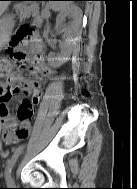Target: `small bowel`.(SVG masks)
<instances>
[{
  "mask_svg": "<svg viewBox=\"0 0 137 189\" xmlns=\"http://www.w3.org/2000/svg\"><path fill=\"white\" fill-rule=\"evenodd\" d=\"M33 71L35 73L33 80H28L21 72H15L9 77L7 83L0 85V131L7 144H16L28 137L34 115V106L40 101L44 83L41 75L48 77L51 74L50 68L44 59H39L35 63ZM24 93L29 94L30 99H24L21 104L26 100L30 102L33 113L27 115L25 112V115L21 117L18 109L16 118L9 111L8 104L14 97Z\"/></svg>",
  "mask_w": 137,
  "mask_h": 189,
  "instance_id": "c3829d8e",
  "label": "small bowel"
}]
</instances>
